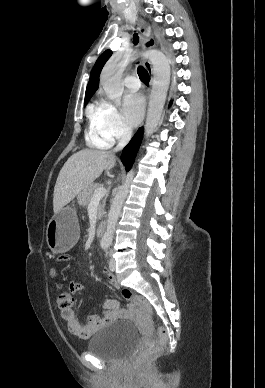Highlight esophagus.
<instances>
[{"label": "esophagus", "instance_id": "34e87169", "mask_svg": "<svg viewBox=\"0 0 265 388\" xmlns=\"http://www.w3.org/2000/svg\"><path fill=\"white\" fill-rule=\"evenodd\" d=\"M138 29H139V32L141 33V36H142L143 49L144 50H150V49L154 48L156 46V40L152 36H149L148 38L146 37L147 24L143 20V18H139L138 19ZM143 66L146 68V70H147V72L149 74L153 73V68H152V65H151V63L149 61L144 60L143 61Z\"/></svg>", "mask_w": 265, "mask_h": 388}]
</instances>
